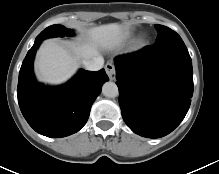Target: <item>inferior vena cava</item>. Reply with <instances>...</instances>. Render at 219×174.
I'll list each match as a JSON object with an SVG mask.
<instances>
[{
  "label": "inferior vena cava",
  "instance_id": "602c4592",
  "mask_svg": "<svg viewBox=\"0 0 219 174\" xmlns=\"http://www.w3.org/2000/svg\"><path fill=\"white\" fill-rule=\"evenodd\" d=\"M83 65L87 70L98 71L104 65V59L101 56L89 60H83Z\"/></svg>",
  "mask_w": 219,
  "mask_h": 174
}]
</instances>
